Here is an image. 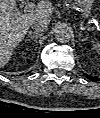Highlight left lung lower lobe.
<instances>
[{"mask_svg": "<svg viewBox=\"0 0 100 118\" xmlns=\"http://www.w3.org/2000/svg\"><path fill=\"white\" fill-rule=\"evenodd\" d=\"M86 77H87L88 79H90L91 81H96V80H97L96 77H92V76H89V75H87Z\"/></svg>", "mask_w": 100, "mask_h": 118, "instance_id": "left-lung-lower-lobe-1", "label": "left lung lower lobe"}]
</instances>
